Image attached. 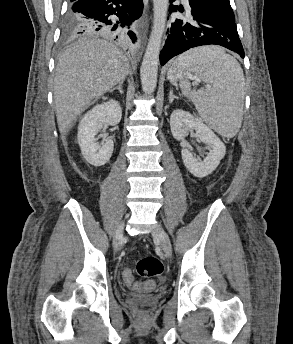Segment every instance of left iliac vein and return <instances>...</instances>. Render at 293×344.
I'll return each mask as SVG.
<instances>
[{
	"label": "left iliac vein",
	"instance_id": "4c4485c4",
	"mask_svg": "<svg viewBox=\"0 0 293 344\" xmlns=\"http://www.w3.org/2000/svg\"><path fill=\"white\" fill-rule=\"evenodd\" d=\"M152 236L158 239L167 257L172 256V247L168 234L163 230L161 225L157 223L152 231Z\"/></svg>",
	"mask_w": 293,
	"mask_h": 344
}]
</instances>
